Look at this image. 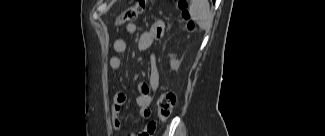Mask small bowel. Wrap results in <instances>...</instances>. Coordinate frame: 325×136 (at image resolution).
<instances>
[{
	"label": "small bowel",
	"instance_id": "small-bowel-1",
	"mask_svg": "<svg viewBox=\"0 0 325 136\" xmlns=\"http://www.w3.org/2000/svg\"><path fill=\"white\" fill-rule=\"evenodd\" d=\"M124 30L128 35H134L137 32V25L135 23L125 24ZM165 33V25L159 22L152 26L148 31L143 32L138 39V48L141 51H146L150 48L152 43L163 37ZM113 55L109 60V66L111 70L118 71L122 66V59L120 54H123L127 50V44L123 39H116L113 43ZM159 84V71L157 67L156 57L154 54L150 57V75L149 81L141 83L137 86L136 103L140 109V114L143 118L148 119L151 116V105L153 95ZM126 101V93L124 91H118L114 96L112 106V123L115 129L122 127V122L119 118V114L122 105ZM156 130V123L150 121L145 128L138 134L131 133L130 135L137 136H151ZM148 133V135H144Z\"/></svg>",
	"mask_w": 325,
	"mask_h": 136
}]
</instances>
